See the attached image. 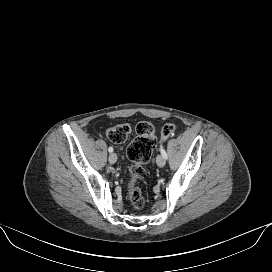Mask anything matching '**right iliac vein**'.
Wrapping results in <instances>:
<instances>
[{
    "label": "right iliac vein",
    "instance_id": "obj_1",
    "mask_svg": "<svg viewBox=\"0 0 272 272\" xmlns=\"http://www.w3.org/2000/svg\"><path fill=\"white\" fill-rule=\"evenodd\" d=\"M117 161V155H116V153H111L110 155H109V162L110 163H115Z\"/></svg>",
    "mask_w": 272,
    "mask_h": 272
}]
</instances>
